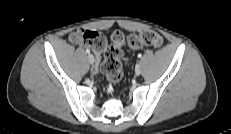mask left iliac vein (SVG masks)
<instances>
[{"label": "left iliac vein", "mask_w": 231, "mask_h": 134, "mask_svg": "<svg viewBox=\"0 0 231 134\" xmlns=\"http://www.w3.org/2000/svg\"><path fill=\"white\" fill-rule=\"evenodd\" d=\"M135 74L136 75H140L141 74V68H140V65L138 64L135 68Z\"/></svg>", "instance_id": "1"}]
</instances>
